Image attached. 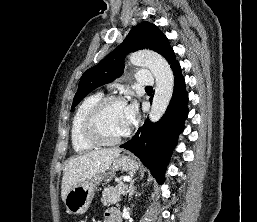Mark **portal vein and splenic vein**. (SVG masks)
<instances>
[{
    "instance_id": "portal-vein-and-splenic-vein-1",
    "label": "portal vein and splenic vein",
    "mask_w": 257,
    "mask_h": 222,
    "mask_svg": "<svg viewBox=\"0 0 257 222\" xmlns=\"http://www.w3.org/2000/svg\"><path fill=\"white\" fill-rule=\"evenodd\" d=\"M123 180L129 182V181H131V178L130 177H124Z\"/></svg>"
}]
</instances>
